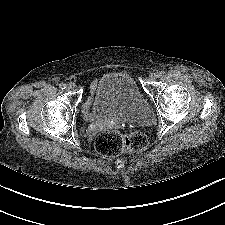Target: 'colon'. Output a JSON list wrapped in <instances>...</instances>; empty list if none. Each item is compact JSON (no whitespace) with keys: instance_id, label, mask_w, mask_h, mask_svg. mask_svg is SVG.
<instances>
[{"instance_id":"colon-1","label":"colon","mask_w":225,"mask_h":225,"mask_svg":"<svg viewBox=\"0 0 225 225\" xmlns=\"http://www.w3.org/2000/svg\"><path fill=\"white\" fill-rule=\"evenodd\" d=\"M148 145V137L142 132L123 134L107 131L100 133L95 139L96 151L104 156H116L125 151H142Z\"/></svg>"}]
</instances>
